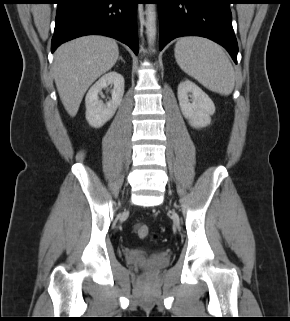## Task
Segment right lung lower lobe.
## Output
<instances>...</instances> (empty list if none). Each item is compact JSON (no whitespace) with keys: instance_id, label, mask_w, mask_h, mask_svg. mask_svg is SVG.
<instances>
[{"instance_id":"right-lung-lower-lobe-1","label":"right lung lower lobe","mask_w":290,"mask_h":321,"mask_svg":"<svg viewBox=\"0 0 290 321\" xmlns=\"http://www.w3.org/2000/svg\"><path fill=\"white\" fill-rule=\"evenodd\" d=\"M138 0H58L51 51L74 38L98 34L127 44L138 54Z\"/></svg>"}]
</instances>
